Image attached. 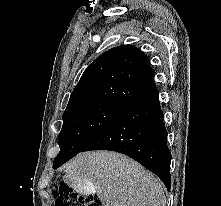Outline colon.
Listing matches in <instances>:
<instances>
[{
    "label": "colon",
    "mask_w": 221,
    "mask_h": 206,
    "mask_svg": "<svg viewBox=\"0 0 221 206\" xmlns=\"http://www.w3.org/2000/svg\"><path fill=\"white\" fill-rule=\"evenodd\" d=\"M54 199L55 206H103L95 197L73 194L65 183H61L54 191Z\"/></svg>",
    "instance_id": "colon-1"
}]
</instances>
